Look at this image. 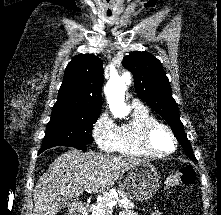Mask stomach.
Here are the masks:
<instances>
[{"label": "stomach", "instance_id": "1", "mask_svg": "<svg viewBox=\"0 0 221 215\" xmlns=\"http://www.w3.org/2000/svg\"><path fill=\"white\" fill-rule=\"evenodd\" d=\"M159 174L154 165L140 163L126 170L119 178V189L129 199L146 201L159 187Z\"/></svg>", "mask_w": 221, "mask_h": 215}]
</instances>
